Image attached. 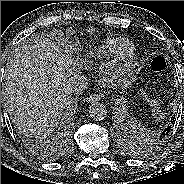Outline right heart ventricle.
<instances>
[{"mask_svg":"<svg viewBox=\"0 0 184 184\" xmlns=\"http://www.w3.org/2000/svg\"><path fill=\"white\" fill-rule=\"evenodd\" d=\"M130 45L125 41H116L111 46H108L103 53L107 56H116L124 51H128Z\"/></svg>","mask_w":184,"mask_h":184,"instance_id":"obj_1","label":"right heart ventricle"}]
</instances>
